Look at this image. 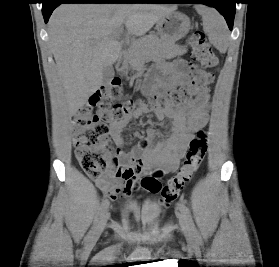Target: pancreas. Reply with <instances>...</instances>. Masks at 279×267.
Masks as SVG:
<instances>
[{
    "instance_id": "obj_1",
    "label": "pancreas",
    "mask_w": 279,
    "mask_h": 267,
    "mask_svg": "<svg viewBox=\"0 0 279 267\" xmlns=\"http://www.w3.org/2000/svg\"><path fill=\"white\" fill-rule=\"evenodd\" d=\"M185 52L186 49L183 46L165 43L156 35H148L130 46L127 61L133 70H138L146 61L171 59Z\"/></svg>"
}]
</instances>
